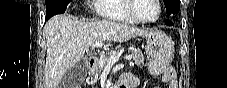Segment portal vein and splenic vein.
Instances as JSON below:
<instances>
[{"label":"portal vein and splenic vein","instance_id":"1","mask_svg":"<svg viewBox=\"0 0 227 88\" xmlns=\"http://www.w3.org/2000/svg\"><path fill=\"white\" fill-rule=\"evenodd\" d=\"M103 46V43L102 42H97V43H94L92 45L93 48H99V47H102ZM133 57L132 55H128V56H125V59L126 60H131ZM119 61V56H116V55H110L109 57V61H108V65H114L115 63H117Z\"/></svg>","mask_w":227,"mask_h":88}]
</instances>
